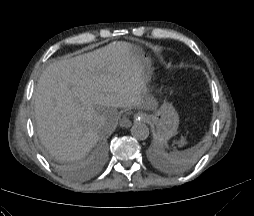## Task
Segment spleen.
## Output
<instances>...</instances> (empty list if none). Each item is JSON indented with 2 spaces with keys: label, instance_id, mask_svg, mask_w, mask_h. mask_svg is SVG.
<instances>
[{
  "label": "spleen",
  "instance_id": "obj_1",
  "mask_svg": "<svg viewBox=\"0 0 254 216\" xmlns=\"http://www.w3.org/2000/svg\"><path fill=\"white\" fill-rule=\"evenodd\" d=\"M165 156H166L169 160H172V159H174V157H175V153L172 152V153H170V154H165Z\"/></svg>",
  "mask_w": 254,
  "mask_h": 216
}]
</instances>
